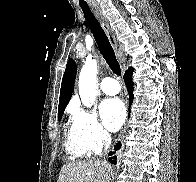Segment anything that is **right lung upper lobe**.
I'll return each mask as SVG.
<instances>
[{
	"instance_id": "obj_1",
	"label": "right lung upper lobe",
	"mask_w": 196,
	"mask_h": 182,
	"mask_svg": "<svg viewBox=\"0 0 196 182\" xmlns=\"http://www.w3.org/2000/svg\"><path fill=\"white\" fill-rule=\"evenodd\" d=\"M76 76V63L70 59L67 62L66 69L63 75L62 86L59 98L58 115H63L64 110L71 99L74 89V81Z\"/></svg>"
}]
</instances>
